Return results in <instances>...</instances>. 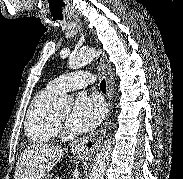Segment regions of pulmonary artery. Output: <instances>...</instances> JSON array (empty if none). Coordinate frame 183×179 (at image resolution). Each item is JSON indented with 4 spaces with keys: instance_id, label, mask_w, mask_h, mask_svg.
<instances>
[{
    "instance_id": "pulmonary-artery-1",
    "label": "pulmonary artery",
    "mask_w": 183,
    "mask_h": 179,
    "mask_svg": "<svg viewBox=\"0 0 183 179\" xmlns=\"http://www.w3.org/2000/svg\"><path fill=\"white\" fill-rule=\"evenodd\" d=\"M94 81L93 76L84 71L71 72L62 75L49 83V88L57 93L76 90L90 85Z\"/></svg>"
}]
</instances>
